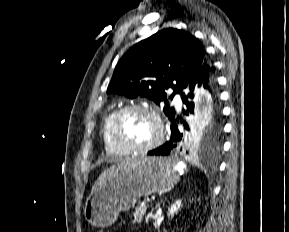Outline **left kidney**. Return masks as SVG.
Segmentation results:
<instances>
[{"mask_svg":"<svg viewBox=\"0 0 289 232\" xmlns=\"http://www.w3.org/2000/svg\"><path fill=\"white\" fill-rule=\"evenodd\" d=\"M182 206V200H176L171 207L168 209V216H171V218L174 216V214H177L180 210V207Z\"/></svg>","mask_w":289,"mask_h":232,"instance_id":"5707ae66","label":"left kidney"}]
</instances>
